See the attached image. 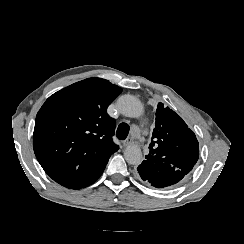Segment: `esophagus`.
Instances as JSON below:
<instances>
[{"label": "esophagus", "mask_w": 244, "mask_h": 244, "mask_svg": "<svg viewBox=\"0 0 244 244\" xmlns=\"http://www.w3.org/2000/svg\"><path fill=\"white\" fill-rule=\"evenodd\" d=\"M132 143V139L130 137L126 138L123 142H122V145L124 147L130 145Z\"/></svg>", "instance_id": "obj_1"}]
</instances>
